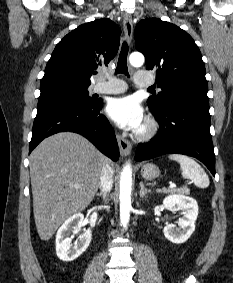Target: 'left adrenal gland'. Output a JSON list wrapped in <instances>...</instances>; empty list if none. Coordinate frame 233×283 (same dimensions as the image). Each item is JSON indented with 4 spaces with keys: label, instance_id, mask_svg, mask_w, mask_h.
<instances>
[{
    "label": "left adrenal gland",
    "instance_id": "1",
    "mask_svg": "<svg viewBox=\"0 0 233 283\" xmlns=\"http://www.w3.org/2000/svg\"><path fill=\"white\" fill-rule=\"evenodd\" d=\"M151 191L146 189L143 182H140V198H143L146 194L150 193Z\"/></svg>",
    "mask_w": 233,
    "mask_h": 283
}]
</instances>
